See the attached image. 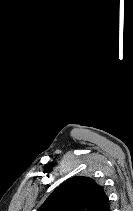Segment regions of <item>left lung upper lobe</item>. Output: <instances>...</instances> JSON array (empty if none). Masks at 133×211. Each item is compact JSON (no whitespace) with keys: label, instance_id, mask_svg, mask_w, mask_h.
I'll return each instance as SVG.
<instances>
[{"label":"left lung upper lobe","instance_id":"5c2ea615","mask_svg":"<svg viewBox=\"0 0 133 211\" xmlns=\"http://www.w3.org/2000/svg\"><path fill=\"white\" fill-rule=\"evenodd\" d=\"M107 200L102 186L89 177L77 176L56 188L38 211H96Z\"/></svg>","mask_w":133,"mask_h":211}]
</instances>
